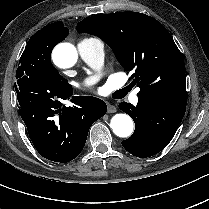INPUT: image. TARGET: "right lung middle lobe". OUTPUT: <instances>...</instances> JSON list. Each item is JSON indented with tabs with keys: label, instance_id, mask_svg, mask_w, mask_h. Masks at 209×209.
<instances>
[{
	"label": "right lung middle lobe",
	"instance_id": "obj_1",
	"mask_svg": "<svg viewBox=\"0 0 209 209\" xmlns=\"http://www.w3.org/2000/svg\"><path fill=\"white\" fill-rule=\"evenodd\" d=\"M55 42L51 31H37L28 41L16 71L18 81L33 79L65 88L70 84L51 64V52ZM17 81V82H18Z\"/></svg>",
	"mask_w": 209,
	"mask_h": 209
}]
</instances>
